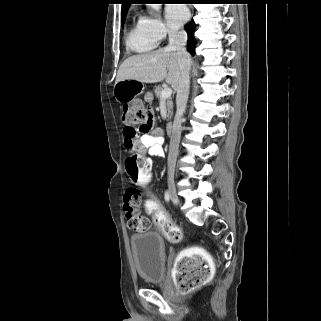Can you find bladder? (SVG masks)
I'll list each match as a JSON object with an SVG mask.
<instances>
[{
    "label": "bladder",
    "instance_id": "1",
    "mask_svg": "<svg viewBox=\"0 0 321 321\" xmlns=\"http://www.w3.org/2000/svg\"><path fill=\"white\" fill-rule=\"evenodd\" d=\"M130 247L138 275L147 283L158 284L165 277V244L157 232H141L130 238Z\"/></svg>",
    "mask_w": 321,
    "mask_h": 321
}]
</instances>
